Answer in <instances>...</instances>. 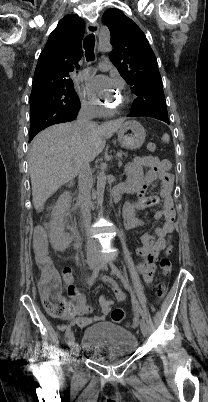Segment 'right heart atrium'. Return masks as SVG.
I'll return each instance as SVG.
<instances>
[{
	"label": "right heart atrium",
	"instance_id": "right-heart-atrium-1",
	"mask_svg": "<svg viewBox=\"0 0 208 402\" xmlns=\"http://www.w3.org/2000/svg\"><path fill=\"white\" fill-rule=\"evenodd\" d=\"M82 108L93 117L102 115L103 109L95 98L81 99Z\"/></svg>",
	"mask_w": 208,
	"mask_h": 402
}]
</instances>
